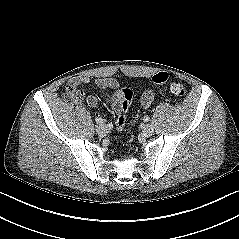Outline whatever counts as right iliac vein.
<instances>
[{
	"mask_svg": "<svg viewBox=\"0 0 239 239\" xmlns=\"http://www.w3.org/2000/svg\"><path fill=\"white\" fill-rule=\"evenodd\" d=\"M108 127L105 124L96 125V132L99 136H104L107 133Z\"/></svg>",
	"mask_w": 239,
	"mask_h": 239,
	"instance_id": "right-iliac-vein-1",
	"label": "right iliac vein"
}]
</instances>
